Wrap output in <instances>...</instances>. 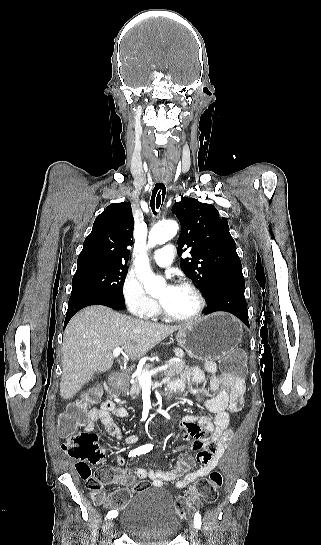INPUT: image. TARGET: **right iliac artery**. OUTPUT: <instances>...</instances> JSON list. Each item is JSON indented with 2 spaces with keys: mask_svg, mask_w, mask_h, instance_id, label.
<instances>
[{
  "mask_svg": "<svg viewBox=\"0 0 321 545\" xmlns=\"http://www.w3.org/2000/svg\"><path fill=\"white\" fill-rule=\"evenodd\" d=\"M152 448H153L152 444H147V445L141 446V447H139L137 449H134L133 451H130L129 457H134L136 455L146 454ZM117 515H118L117 511H110V512H108V514L106 516V519H111V518L113 519Z\"/></svg>",
  "mask_w": 321,
  "mask_h": 545,
  "instance_id": "right-iliac-artery-1",
  "label": "right iliac artery"
}]
</instances>
